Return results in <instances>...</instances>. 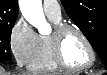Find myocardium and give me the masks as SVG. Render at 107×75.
<instances>
[{
  "label": "myocardium",
  "mask_w": 107,
  "mask_h": 75,
  "mask_svg": "<svg viewBox=\"0 0 107 75\" xmlns=\"http://www.w3.org/2000/svg\"><path fill=\"white\" fill-rule=\"evenodd\" d=\"M69 31L76 32L87 46L90 54V60L87 64L82 66H72L65 60L62 50V42L64 35ZM51 44H52L53 59L55 63L62 69L79 72V71L87 70L95 64L96 52L91 41L89 40L87 35L79 27L75 25L68 23H61L55 26V29L51 34Z\"/></svg>",
  "instance_id": "1"
}]
</instances>
